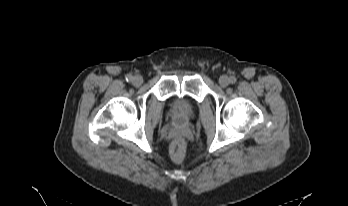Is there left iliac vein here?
<instances>
[{"label":"left iliac vein","instance_id":"obj_1","mask_svg":"<svg viewBox=\"0 0 348 206\" xmlns=\"http://www.w3.org/2000/svg\"><path fill=\"white\" fill-rule=\"evenodd\" d=\"M229 82H230V80L226 75H222L219 78V84L221 87H227L229 85Z\"/></svg>","mask_w":348,"mask_h":206}]
</instances>
